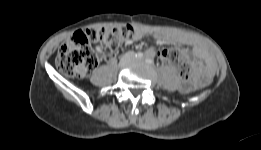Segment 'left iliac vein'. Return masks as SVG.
Here are the masks:
<instances>
[{
    "instance_id": "4c4485c4",
    "label": "left iliac vein",
    "mask_w": 261,
    "mask_h": 150,
    "mask_svg": "<svg viewBox=\"0 0 261 150\" xmlns=\"http://www.w3.org/2000/svg\"><path fill=\"white\" fill-rule=\"evenodd\" d=\"M138 61L142 62V61H143V59H138Z\"/></svg>"
}]
</instances>
